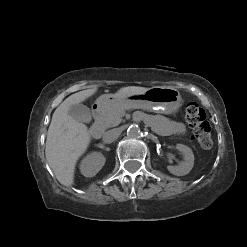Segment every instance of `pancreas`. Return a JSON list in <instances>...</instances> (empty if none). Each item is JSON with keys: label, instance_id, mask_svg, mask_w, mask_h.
I'll use <instances>...</instances> for the list:
<instances>
[{"label": "pancreas", "instance_id": "pancreas-1", "mask_svg": "<svg viewBox=\"0 0 247 247\" xmlns=\"http://www.w3.org/2000/svg\"><path fill=\"white\" fill-rule=\"evenodd\" d=\"M132 106L124 105L112 109L104 114L98 123L104 128L118 126L122 122V117L125 115V110L130 109Z\"/></svg>", "mask_w": 247, "mask_h": 247}]
</instances>
